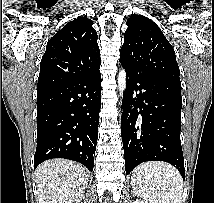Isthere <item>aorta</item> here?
<instances>
[{
    "instance_id": "1",
    "label": "aorta",
    "mask_w": 214,
    "mask_h": 203,
    "mask_svg": "<svg viewBox=\"0 0 214 203\" xmlns=\"http://www.w3.org/2000/svg\"><path fill=\"white\" fill-rule=\"evenodd\" d=\"M117 83L120 96H123L124 91L126 89V72L123 68H121L118 73Z\"/></svg>"
}]
</instances>
